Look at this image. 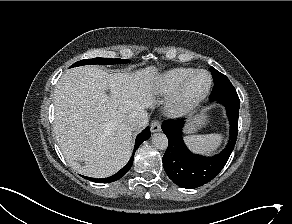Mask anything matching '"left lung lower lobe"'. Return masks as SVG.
<instances>
[{"label": "left lung lower lobe", "instance_id": "1", "mask_svg": "<svg viewBox=\"0 0 292 224\" xmlns=\"http://www.w3.org/2000/svg\"><path fill=\"white\" fill-rule=\"evenodd\" d=\"M214 101L225 107L230 124L228 145L214 157H204L189 151L182 139L184 119L165 121L162 124V130L169 140L163 156V166L168 177L180 187L193 189L212 180L223 169L234 149L238 134L239 97L233 94Z\"/></svg>", "mask_w": 292, "mask_h": 224}]
</instances>
